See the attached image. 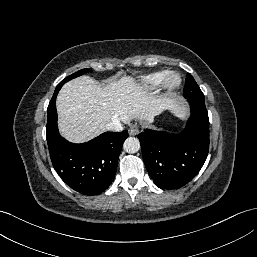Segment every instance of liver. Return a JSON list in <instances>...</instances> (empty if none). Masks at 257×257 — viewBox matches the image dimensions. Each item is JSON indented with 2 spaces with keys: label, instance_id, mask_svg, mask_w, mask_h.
Wrapping results in <instances>:
<instances>
[{
  "label": "liver",
  "instance_id": "obj_1",
  "mask_svg": "<svg viewBox=\"0 0 257 257\" xmlns=\"http://www.w3.org/2000/svg\"><path fill=\"white\" fill-rule=\"evenodd\" d=\"M60 133L82 143L105 131L113 118L129 123L133 118L152 121L164 109L179 112L171 99L153 98L131 76L101 86L89 76L66 83L56 100Z\"/></svg>",
  "mask_w": 257,
  "mask_h": 257
}]
</instances>
